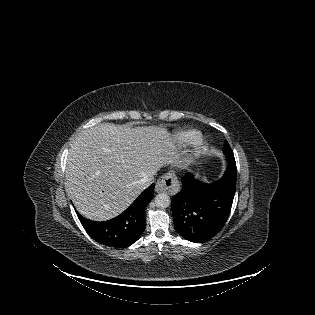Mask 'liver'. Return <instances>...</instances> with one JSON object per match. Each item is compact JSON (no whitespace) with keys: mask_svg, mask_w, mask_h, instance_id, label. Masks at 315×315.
Instances as JSON below:
<instances>
[{"mask_svg":"<svg viewBox=\"0 0 315 315\" xmlns=\"http://www.w3.org/2000/svg\"><path fill=\"white\" fill-rule=\"evenodd\" d=\"M179 156L170 133L158 126L102 123L81 132L71 144L66 190L84 217L104 221L123 212L154 177Z\"/></svg>","mask_w":315,"mask_h":315,"instance_id":"liver-1","label":"liver"}]
</instances>
